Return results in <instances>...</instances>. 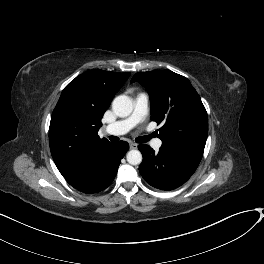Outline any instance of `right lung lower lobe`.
I'll return each mask as SVG.
<instances>
[{
  "label": "right lung lower lobe",
  "instance_id": "right-lung-lower-lobe-1",
  "mask_svg": "<svg viewBox=\"0 0 264 264\" xmlns=\"http://www.w3.org/2000/svg\"><path fill=\"white\" fill-rule=\"evenodd\" d=\"M128 149L129 145L125 141L110 143L98 151L85 167L64 178L83 193L100 192L113 182Z\"/></svg>",
  "mask_w": 264,
  "mask_h": 264
}]
</instances>
